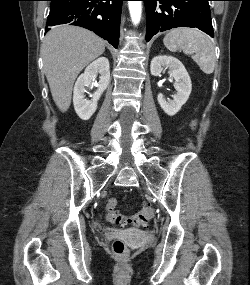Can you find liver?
Listing matches in <instances>:
<instances>
[{"label": "liver", "mask_w": 250, "mask_h": 285, "mask_svg": "<svg viewBox=\"0 0 250 285\" xmlns=\"http://www.w3.org/2000/svg\"><path fill=\"white\" fill-rule=\"evenodd\" d=\"M104 50V40L80 27L59 25L47 33L42 45L44 72L53 100L62 112L70 106L78 74Z\"/></svg>", "instance_id": "liver-1"}]
</instances>
